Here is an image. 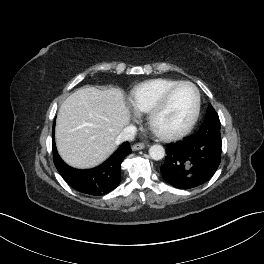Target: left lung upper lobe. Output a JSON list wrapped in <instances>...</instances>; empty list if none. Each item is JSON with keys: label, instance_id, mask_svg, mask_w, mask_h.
Segmentation results:
<instances>
[{"label": "left lung upper lobe", "instance_id": "1", "mask_svg": "<svg viewBox=\"0 0 264 264\" xmlns=\"http://www.w3.org/2000/svg\"><path fill=\"white\" fill-rule=\"evenodd\" d=\"M206 118L207 119L203 123L204 125H207L209 127L220 128V121H219L218 114L216 113V111L214 110L211 104L208 106V109L206 112Z\"/></svg>", "mask_w": 264, "mask_h": 264}]
</instances>
